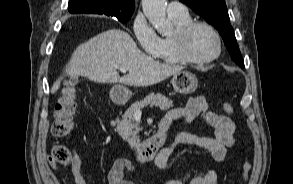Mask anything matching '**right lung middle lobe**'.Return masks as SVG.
<instances>
[{
    "instance_id": "obj_1",
    "label": "right lung middle lobe",
    "mask_w": 293,
    "mask_h": 184,
    "mask_svg": "<svg viewBox=\"0 0 293 184\" xmlns=\"http://www.w3.org/2000/svg\"><path fill=\"white\" fill-rule=\"evenodd\" d=\"M130 18H131V16L117 17V19L122 23L128 21Z\"/></svg>"
}]
</instances>
